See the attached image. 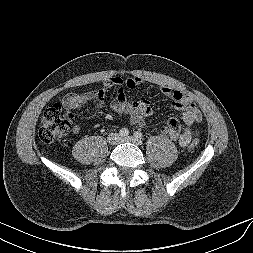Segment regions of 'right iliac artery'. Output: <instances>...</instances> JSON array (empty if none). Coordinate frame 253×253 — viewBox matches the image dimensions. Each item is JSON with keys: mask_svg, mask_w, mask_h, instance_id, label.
Returning <instances> with one entry per match:
<instances>
[{"mask_svg": "<svg viewBox=\"0 0 253 253\" xmlns=\"http://www.w3.org/2000/svg\"><path fill=\"white\" fill-rule=\"evenodd\" d=\"M119 135L121 137H125V136H128L129 135V130L127 128H122L120 131H119Z\"/></svg>", "mask_w": 253, "mask_h": 253, "instance_id": "82829eb1", "label": "right iliac artery"}]
</instances>
